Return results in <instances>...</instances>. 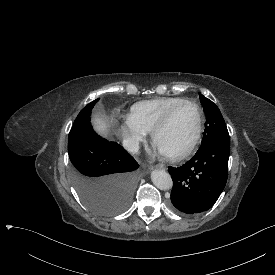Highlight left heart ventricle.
<instances>
[{
    "label": "left heart ventricle",
    "instance_id": "left-heart-ventricle-1",
    "mask_svg": "<svg viewBox=\"0 0 275 275\" xmlns=\"http://www.w3.org/2000/svg\"><path fill=\"white\" fill-rule=\"evenodd\" d=\"M196 125V114L192 106L179 108L169 126L155 139L156 150L171 152L186 144L192 136Z\"/></svg>",
    "mask_w": 275,
    "mask_h": 275
}]
</instances>
